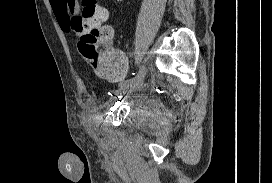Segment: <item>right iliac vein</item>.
<instances>
[{
  "mask_svg": "<svg viewBox=\"0 0 272 183\" xmlns=\"http://www.w3.org/2000/svg\"><path fill=\"white\" fill-rule=\"evenodd\" d=\"M145 70L141 69L140 77L137 78L136 81H124L119 84V90L120 93H126V92H132L135 91L137 88H139L144 80L145 77Z\"/></svg>",
  "mask_w": 272,
  "mask_h": 183,
  "instance_id": "obj_1",
  "label": "right iliac vein"
}]
</instances>
